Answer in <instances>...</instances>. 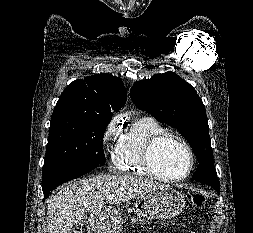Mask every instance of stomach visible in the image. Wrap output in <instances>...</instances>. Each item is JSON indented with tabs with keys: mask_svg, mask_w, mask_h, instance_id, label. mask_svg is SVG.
<instances>
[{
	"mask_svg": "<svg viewBox=\"0 0 253 233\" xmlns=\"http://www.w3.org/2000/svg\"><path fill=\"white\" fill-rule=\"evenodd\" d=\"M185 206V196L169 187H158L138 197L134 210L148 219H170L182 212ZM120 216L111 211L109 216L95 214L92 216L91 231L95 233H119Z\"/></svg>",
	"mask_w": 253,
	"mask_h": 233,
	"instance_id": "obj_1",
	"label": "stomach"
}]
</instances>
